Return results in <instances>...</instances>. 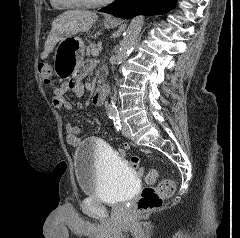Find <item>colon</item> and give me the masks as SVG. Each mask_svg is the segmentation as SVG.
<instances>
[{
  "label": "colon",
  "instance_id": "colon-1",
  "mask_svg": "<svg viewBox=\"0 0 240 238\" xmlns=\"http://www.w3.org/2000/svg\"><path fill=\"white\" fill-rule=\"evenodd\" d=\"M38 73L40 77L46 82H50L53 69L48 62H40L38 64ZM158 173L155 169H150L146 173V181L154 183L157 180ZM175 189L173 180L163 179L156 186L145 187L140 194L136 204L135 210L138 214H144L155 209H158L163 202V199L170 197Z\"/></svg>",
  "mask_w": 240,
  "mask_h": 238
}]
</instances>
